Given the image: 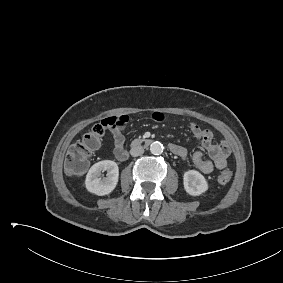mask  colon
<instances>
[{"label":"colon","mask_w":283,"mask_h":283,"mask_svg":"<svg viewBox=\"0 0 283 283\" xmlns=\"http://www.w3.org/2000/svg\"><path fill=\"white\" fill-rule=\"evenodd\" d=\"M105 129L102 123L96 124L72 145L66 159L67 169L71 174H82L87 170L92 154L101 145ZM231 178L232 172L228 169L222 170L217 177L221 184L228 183Z\"/></svg>","instance_id":"obj_1"}]
</instances>
